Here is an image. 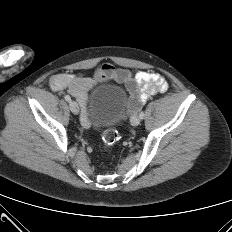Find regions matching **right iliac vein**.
Listing matches in <instances>:
<instances>
[{
    "mask_svg": "<svg viewBox=\"0 0 232 232\" xmlns=\"http://www.w3.org/2000/svg\"><path fill=\"white\" fill-rule=\"evenodd\" d=\"M69 106H70V110L72 111V113L74 114L79 113V106L75 101H70Z\"/></svg>",
    "mask_w": 232,
    "mask_h": 232,
    "instance_id": "right-iliac-vein-1",
    "label": "right iliac vein"
}]
</instances>
